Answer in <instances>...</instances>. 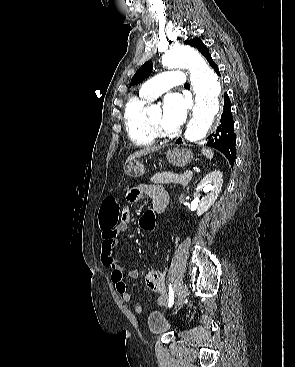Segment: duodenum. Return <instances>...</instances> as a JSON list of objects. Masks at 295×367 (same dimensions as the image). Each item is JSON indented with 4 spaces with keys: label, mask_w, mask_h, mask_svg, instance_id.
<instances>
[{
    "label": "duodenum",
    "mask_w": 295,
    "mask_h": 367,
    "mask_svg": "<svg viewBox=\"0 0 295 367\" xmlns=\"http://www.w3.org/2000/svg\"><path fill=\"white\" fill-rule=\"evenodd\" d=\"M166 206V203L162 202V201H156L154 204H153V208L155 209L154 211L156 213H160L161 211H163V209L165 208Z\"/></svg>",
    "instance_id": "1"
}]
</instances>
